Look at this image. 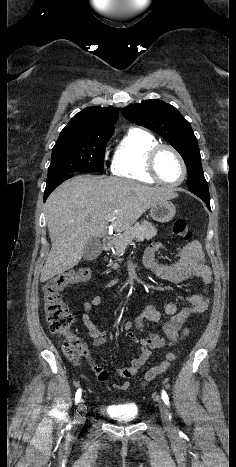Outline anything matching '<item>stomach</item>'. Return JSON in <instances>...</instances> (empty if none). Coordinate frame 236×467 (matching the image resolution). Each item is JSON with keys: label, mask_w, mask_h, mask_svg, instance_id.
<instances>
[{"label": "stomach", "mask_w": 236, "mask_h": 467, "mask_svg": "<svg viewBox=\"0 0 236 467\" xmlns=\"http://www.w3.org/2000/svg\"><path fill=\"white\" fill-rule=\"evenodd\" d=\"M175 214L176 207L168 200L154 204L150 210L151 217L160 223L170 222L174 218Z\"/></svg>", "instance_id": "stomach-1"}]
</instances>
